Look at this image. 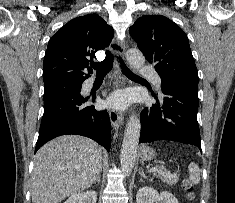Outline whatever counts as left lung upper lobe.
Masks as SVG:
<instances>
[{
    "mask_svg": "<svg viewBox=\"0 0 235 203\" xmlns=\"http://www.w3.org/2000/svg\"><path fill=\"white\" fill-rule=\"evenodd\" d=\"M149 63L155 65L163 85L198 89V72L186 34L170 19L147 15L129 29Z\"/></svg>",
    "mask_w": 235,
    "mask_h": 203,
    "instance_id": "5c2ea615",
    "label": "left lung upper lobe"
}]
</instances>
